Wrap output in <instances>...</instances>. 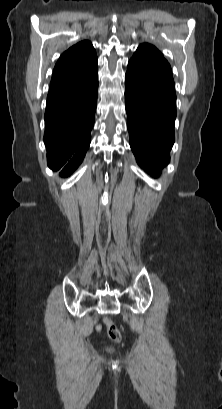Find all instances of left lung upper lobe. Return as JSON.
I'll return each mask as SVG.
<instances>
[{"mask_svg":"<svg viewBox=\"0 0 222 409\" xmlns=\"http://www.w3.org/2000/svg\"><path fill=\"white\" fill-rule=\"evenodd\" d=\"M127 72L161 83L175 90L170 64L153 45L141 44L128 63Z\"/></svg>","mask_w":222,"mask_h":409,"instance_id":"5c2ea615","label":"left lung upper lobe"}]
</instances>
